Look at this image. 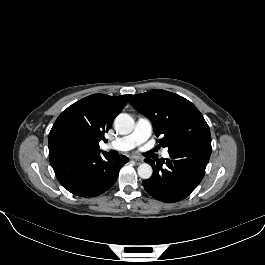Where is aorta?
Returning a JSON list of instances; mask_svg holds the SVG:
<instances>
[{"mask_svg": "<svg viewBox=\"0 0 265 265\" xmlns=\"http://www.w3.org/2000/svg\"><path fill=\"white\" fill-rule=\"evenodd\" d=\"M114 125L120 134L126 135L133 131L135 122L129 114L121 113L115 118ZM137 172L142 179H149L152 176L153 169L151 165L142 163L138 166Z\"/></svg>", "mask_w": 265, "mask_h": 265, "instance_id": "762f6f07", "label": "aorta"}]
</instances>
